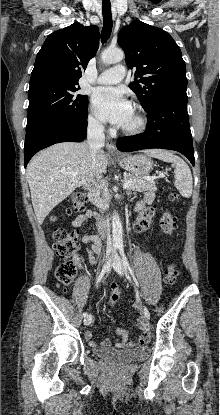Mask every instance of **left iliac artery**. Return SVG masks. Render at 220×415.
Returning a JSON list of instances; mask_svg holds the SVG:
<instances>
[{"instance_id": "44dca946", "label": "left iliac artery", "mask_w": 220, "mask_h": 415, "mask_svg": "<svg viewBox=\"0 0 220 415\" xmlns=\"http://www.w3.org/2000/svg\"><path fill=\"white\" fill-rule=\"evenodd\" d=\"M118 249H119V253H120L121 257H122V261H123L124 267L129 270V272H130V274H131V276L133 278V281H134L136 287L139 288L138 280H137V278H136L133 270L131 269L130 264H129L128 260H127V257H126V255L124 253V246H123V244H119L118 245ZM144 314H145V316L150 317V313H149L148 310H145L144 311Z\"/></svg>"}]
</instances>
